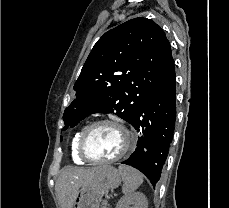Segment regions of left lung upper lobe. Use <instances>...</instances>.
Returning a JSON list of instances; mask_svg holds the SVG:
<instances>
[{
	"label": "left lung upper lobe",
	"instance_id": "left-lung-upper-lobe-1",
	"mask_svg": "<svg viewBox=\"0 0 229 208\" xmlns=\"http://www.w3.org/2000/svg\"><path fill=\"white\" fill-rule=\"evenodd\" d=\"M175 77L170 43L162 28L147 18L131 19L94 45L74 84L76 99L64 111L63 130L92 113H115L131 123L148 96Z\"/></svg>",
	"mask_w": 229,
	"mask_h": 208
}]
</instances>
